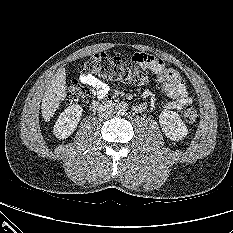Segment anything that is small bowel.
Instances as JSON below:
<instances>
[{
	"mask_svg": "<svg viewBox=\"0 0 233 233\" xmlns=\"http://www.w3.org/2000/svg\"><path fill=\"white\" fill-rule=\"evenodd\" d=\"M134 56L141 60L142 68L156 74L158 86L171 99L166 104L167 109L181 110L192 103L183 78L176 70L167 68L163 60L151 55L135 54ZM80 81L89 87L92 96L97 99H103L109 93L110 86L92 74L81 75ZM137 109L142 110L143 105L138 106Z\"/></svg>",
	"mask_w": 233,
	"mask_h": 233,
	"instance_id": "small-bowel-1",
	"label": "small bowel"
}]
</instances>
